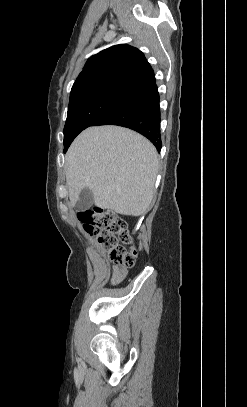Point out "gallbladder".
<instances>
[{
	"label": "gallbladder",
	"instance_id": "obj_1",
	"mask_svg": "<svg viewBox=\"0 0 247 407\" xmlns=\"http://www.w3.org/2000/svg\"><path fill=\"white\" fill-rule=\"evenodd\" d=\"M94 202V194L89 188H84L76 203L77 210H87Z\"/></svg>",
	"mask_w": 247,
	"mask_h": 407
}]
</instances>
